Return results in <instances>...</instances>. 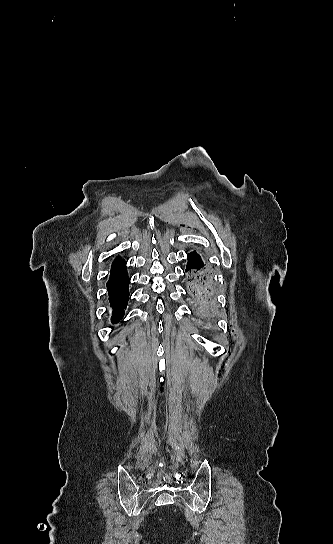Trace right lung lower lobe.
Instances as JSON below:
<instances>
[{
  "label": "right lung lower lobe",
  "mask_w": 333,
  "mask_h": 544,
  "mask_svg": "<svg viewBox=\"0 0 333 544\" xmlns=\"http://www.w3.org/2000/svg\"><path fill=\"white\" fill-rule=\"evenodd\" d=\"M129 278L124 265L118 271L110 275L107 283L110 306L113 310V323L119 322L124 316V309L127 306Z\"/></svg>",
  "instance_id": "obj_1"
}]
</instances>
